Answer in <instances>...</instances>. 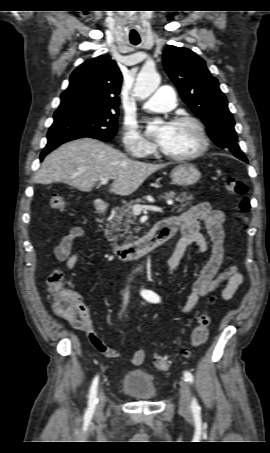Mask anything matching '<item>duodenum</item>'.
<instances>
[{
    "mask_svg": "<svg viewBox=\"0 0 270 453\" xmlns=\"http://www.w3.org/2000/svg\"><path fill=\"white\" fill-rule=\"evenodd\" d=\"M108 211L105 206H98L97 214L104 215ZM176 232V228L165 220L159 221L144 237L119 246L115 254L122 260H133L141 257L148 251L168 241Z\"/></svg>",
    "mask_w": 270,
    "mask_h": 453,
    "instance_id": "1",
    "label": "duodenum"
}]
</instances>
